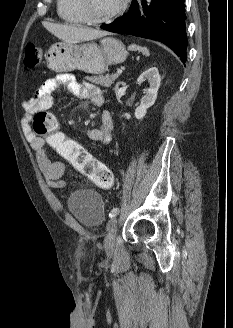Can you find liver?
Here are the masks:
<instances>
[{"instance_id":"obj_1","label":"liver","mask_w":233,"mask_h":328,"mask_svg":"<svg viewBox=\"0 0 233 328\" xmlns=\"http://www.w3.org/2000/svg\"><path fill=\"white\" fill-rule=\"evenodd\" d=\"M43 26L58 39L67 43L89 41L105 35L104 31L89 27L63 25L50 22H44Z\"/></svg>"}]
</instances>
